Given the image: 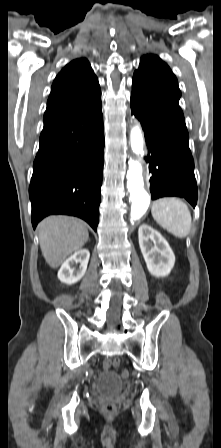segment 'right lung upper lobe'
Segmentation results:
<instances>
[{"label":"right lung upper lobe","instance_id":"right-lung-upper-lobe-1","mask_svg":"<svg viewBox=\"0 0 221 448\" xmlns=\"http://www.w3.org/2000/svg\"><path fill=\"white\" fill-rule=\"evenodd\" d=\"M98 79L86 59L67 64L56 76L44 114V123L74 110L97 97Z\"/></svg>","mask_w":221,"mask_h":448}]
</instances>
